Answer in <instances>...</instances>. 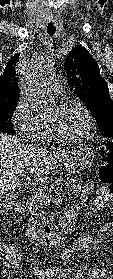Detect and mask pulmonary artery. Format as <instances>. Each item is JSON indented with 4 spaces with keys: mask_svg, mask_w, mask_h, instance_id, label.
<instances>
[{
    "mask_svg": "<svg viewBox=\"0 0 113 279\" xmlns=\"http://www.w3.org/2000/svg\"><path fill=\"white\" fill-rule=\"evenodd\" d=\"M46 90L51 95H58L61 93V87L59 84V78L56 74H51L48 76L45 83Z\"/></svg>",
    "mask_w": 113,
    "mask_h": 279,
    "instance_id": "e3ab8cb5",
    "label": "pulmonary artery"
}]
</instances>
